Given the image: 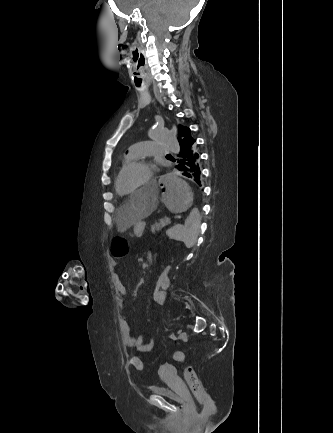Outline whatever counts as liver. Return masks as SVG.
Returning a JSON list of instances; mask_svg holds the SVG:
<instances>
[{
	"instance_id": "6515ba94",
	"label": "liver",
	"mask_w": 333,
	"mask_h": 433,
	"mask_svg": "<svg viewBox=\"0 0 333 433\" xmlns=\"http://www.w3.org/2000/svg\"><path fill=\"white\" fill-rule=\"evenodd\" d=\"M142 190L143 192H131V200L124 201L118 208L116 217L118 232H125L156 210L155 201L159 198V183H143Z\"/></svg>"
}]
</instances>
